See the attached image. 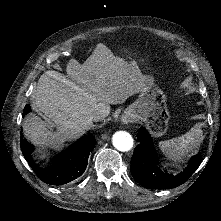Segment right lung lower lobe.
<instances>
[{
  "label": "right lung lower lobe",
  "instance_id": "obj_1",
  "mask_svg": "<svg viewBox=\"0 0 221 221\" xmlns=\"http://www.w3.org/2000/svg\"><path fill=\"white\" fill-rule=\"evenodd\" d=\"M31 111L29 105L23 110V115ZM96 140L92 135L84 136L69 148L54 157L52 165L47 168L39 167L32 156L34 146L20 137L21 151L37 176L47 184L62 185L80 177L88 163L90 152L95 147Z\"/></svg>",
  "mask_w": 221,
  "mask_h": 221
}]
</instances>
